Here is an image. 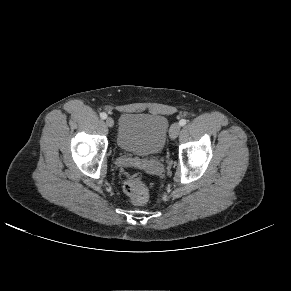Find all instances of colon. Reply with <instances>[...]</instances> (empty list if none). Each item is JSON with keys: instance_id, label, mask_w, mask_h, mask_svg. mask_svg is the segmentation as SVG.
Segmentation results:
<instances>
[{"instance_id": "obj_1", "label": "colon", "mask_w": 291, "mask_h": 291, "mask_svg": "<svg viewBox=\"0 0 291 291\" xmlns=\"http://www.w3.org/2000/svg\"><path fill=\"white\" fill-rule=\"evenodd\" d=\"M123 189L130 200L136 205L146 203L149 198V189L146 182L136 175L125 179Z\"/></svg>"}]
</instances>
